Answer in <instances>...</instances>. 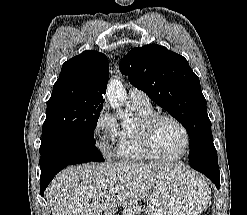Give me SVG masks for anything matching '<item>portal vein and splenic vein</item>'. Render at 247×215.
Wrapping results in <instances>:
<instances>
[{"label": "portal vein and splenic vein", "mask_w": 247, "mask_h": 215, "mask_svg": "<svg viewBox=\"0 0 247 215\" xmlns=\"http://www.w3.org/2000/svg\"><path fill=\"white\" fill-rule=\"evenodd\" d=\"M109 192H110L111 194H115V193H116L115 190H110Z\"/></svg>", "instance_id": "obj_1"}]
</instances>
